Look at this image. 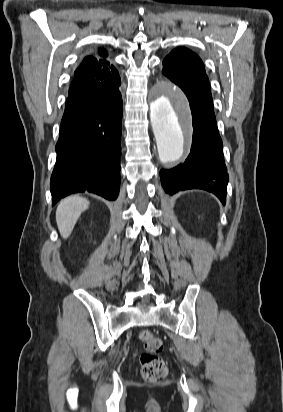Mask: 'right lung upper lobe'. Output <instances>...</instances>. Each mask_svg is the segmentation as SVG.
Listing matches in <instances>:
<instances>
[{
    "mask_svg": "<svg viewBox=\"0 0 283 412\" xmlns=\"http://www.w3.org/2000/svg\"><path fill=\"white\" fill-rule=\"evenodd\" d=\"M99 58L86 57L78 69L75 71V78L73 79L69 93L84 85L85 83L98 80L104 83H111L120 76L113 65L106 60L107 52L103 49L98 51Z\"/></svg>",
    "mask_w": 283,
    "mask_h": 412,
    "instance_id": "obj_1",
    "label": "right lung upper lobe"
}]
</instances>
